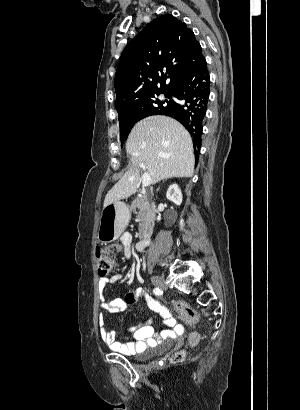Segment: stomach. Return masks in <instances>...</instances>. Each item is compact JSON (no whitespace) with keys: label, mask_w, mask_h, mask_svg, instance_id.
Wrapping results in <instances>:
<instances>
[{"label":"stomach","mask_w":300,"mask_h":410,"mask_svg":"<svg viewBox=\"0 0 300 410\" xmlns=\"http://www.w3.org/2000/svg\"><path fill=\"white\" fill-rule=\"evenodd\" d=\"M130 220L129 207L121 201L105 206L101 213L98 239L101 242L116 240L125 230Z\"/></svg>","instance_id":"stomach-1"}]
</instances>
